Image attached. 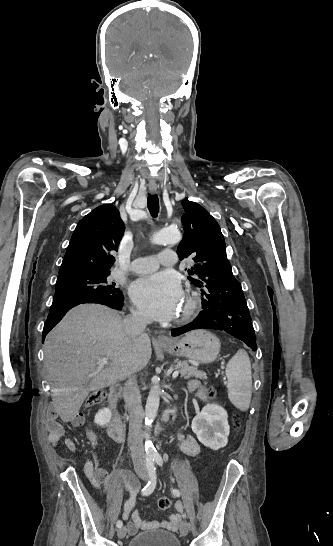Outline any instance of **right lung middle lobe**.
Here are the masks:
<instances>
[{
    "label": "right lung middle lobe",
    "instance_id": "right-lung-middle-lobe-1",
    "mask_svg": "<svg viewBox=\"0 0 333 546\" xmlns=\"http://www.w3.org/2000/svg\"><path fill=\"white\" fill-rule=\"evenodd\" d=\"M110 272H81L58 277L53 301L92 295H121L115 283L108 284Z\"/></svg>",
    "mask_w": 333,
    "mask_h": 546
}]
</instances>
